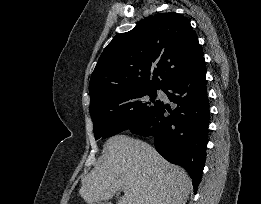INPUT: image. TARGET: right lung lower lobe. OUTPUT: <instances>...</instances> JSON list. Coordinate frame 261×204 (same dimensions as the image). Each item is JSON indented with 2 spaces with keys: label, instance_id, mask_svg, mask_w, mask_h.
<instances>
[{
  "label": "right lung lower lobe",
  "instance_id": "98d812e1",
  "mask_svg": "<svg viewBox=\"0 0 261 204\" xmlns=\"http://www.w3.org/2000/svg\"><path fill=\"white\" fill-rule=\"evenodd\" d=\"M204 58L162 90L176 109L159 103L131 126L134 134L154 138L156 150L169 162L182 166L192 178L194 193L204 168L209 120ZM169 112V115L167 114Z\"/></svg>",
  "mask_w": 261,
  "mask_h": 204
}]
</instances>
